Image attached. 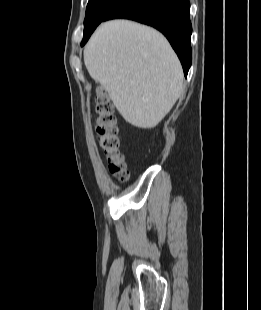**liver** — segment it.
Wrapping results in <instances>:
<instances>
[{"label": "liver", "instance_id": "liver-1", "mask_svg": "<svg viewBox=\"0 0 261 310\" xmlns=\"http://www.w3.org/2000/svg\"><path fill=\"white\" fill-rule=\"evenodd\" d=\"M90 76L131 125L154 128L183 91V70L167 39L128 20L102 23L84 49Z\"/></svg>", "mask_w": 261, "mask_h": 310}]
</instances>
